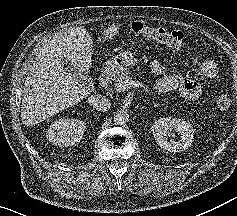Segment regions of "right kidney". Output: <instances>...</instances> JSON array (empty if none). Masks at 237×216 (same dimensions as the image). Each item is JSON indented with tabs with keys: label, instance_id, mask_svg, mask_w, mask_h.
Masks as SVG:
<instances>
[{
	"label": "right kidney",
	"instance_id": "1",
	"mask_svg": "<svg viewBox=\"0 0 237 216\" xmlns=\"http://www.w3.org/2000/svg\"><path fill=\"white\" fill-rule=\"evenodd\" d=\"M63 127H65V126H63V124H61L60 126H56V127H50V129L48 130V133H51L52 131H53V128H55V130H57V132H55V133H53L54 134V136L52 137V139L51 140H57L58 141V139H57V137H58V134H59V131L63 128ZM79 137L81 138L82 137V134H79ZM50 139V138H49Z\"/></svg>",
	"mask_w": 237,
	"mask_h": 216
}]
</instances>
